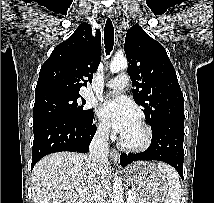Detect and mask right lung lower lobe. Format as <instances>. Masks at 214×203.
Here are the masks:
<instances>
[{
    "label": "right lung lower lobe",
    "instance_id": "obj_1",
    "mask_svg": "<svg viewBox=\"0 0 214 203\" xmlns=\"http://www.w3.org/2000/svg\"><path fill=\"white\" fill-rule=\"evenodd\" d=\"M93 117L88 122L64 118H48L33 123L34 141L32 148V164L44 156L60 152H89V145L96 133Z\"/></svg>",
    "mask_w": 214,
    "mask_h": 203
}]
</instances>
